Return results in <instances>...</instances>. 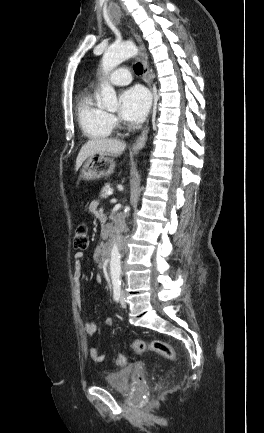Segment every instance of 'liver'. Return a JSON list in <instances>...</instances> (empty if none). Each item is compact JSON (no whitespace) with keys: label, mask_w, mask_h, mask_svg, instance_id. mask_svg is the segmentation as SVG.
<instances>
[{"label":"liver","mask_w":264,"mask_h":433,"mask_svg":"<svg viewBox=\"0 0 264 433\" xmlns=\"http://www.w3.org/2000/svg\"><path fill=\"white\" fill-rule=\"evenodd\" d=\"M126 143L117 139L95 138L86 142L76 158L75 170L77 171L83 162L95 154L120 155L124 152Z\"/></svg>","instance_id":"obj_1"}]
</instances>
